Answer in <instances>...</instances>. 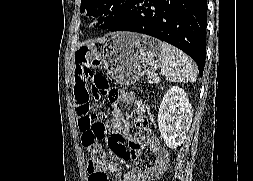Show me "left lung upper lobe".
Wrapping results in <instances>:
<instances>
[{"label":"left lung upper lobe","mask_w":253,"mask_h":181,"mask_svg":"<svg viewBox=\"0 0 253 181\" xmlns=\"http://www.w3.org/2000/svg\"><path fill=\"white\" fill-rule=\"evenodd\" d=\"M133 0H81L80 11L89 16H101L98 24L103 22L102 28L109 29L117 24L129 11Z\"/></svg>","instance_id":"1"}]
</instances>
